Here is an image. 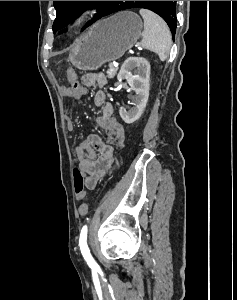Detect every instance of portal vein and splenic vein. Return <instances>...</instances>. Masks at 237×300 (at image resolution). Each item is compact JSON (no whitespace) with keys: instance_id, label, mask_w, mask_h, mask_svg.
<instances>
[{"instance_id":"obj_1","label":"portal vein and splenic vein","mask_w":237,"mask_h":300,"mask_svg":"<svg viewBox=\"0 0 237 300\" xmlns=\"http://www.w3.org/2000/svg\"><path fill=\"white\" fill-rule=\"evenodd\" d=\"M110 65H109V68H113L114 66H113V61H110V63H109Z\"/></svg>"}]
</instances>
